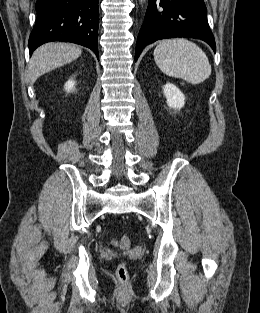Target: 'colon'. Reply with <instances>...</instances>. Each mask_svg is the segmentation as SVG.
Returning <instances> with one entry per match:
<instances>
[{"label": "colon", "instance_id": "1", "mask_svg": "<svg viewBox=\"0 0 260 313\" xmlns=\"http://www.w3.org/2000/svg\"><path fill=\"white\" fill-rule=\"evenodd\" d=\"M112 243L120 249H128L130 247V239L127 236L115 237L112 239ZM116 275L121 282H125L128 279V269L125 262L118 265Z\"/></svg>", "mask_w": 260, "mask_h": 313}]
</instances>
